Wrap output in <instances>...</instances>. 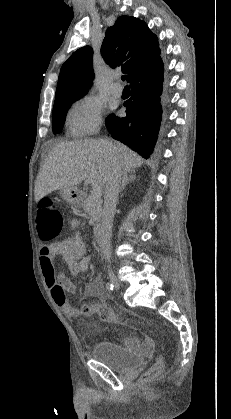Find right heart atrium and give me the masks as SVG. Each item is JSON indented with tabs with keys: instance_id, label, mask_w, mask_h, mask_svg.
<instances>
[{
	"instance_id": "d8ad5b80",
	"label": "right heart atrium",
	"mask_w": 231,
	"mask_h": 419,
	"mask_svg": "<svg viewBox=\"0 0 231 419\" xmlns=\"http://www.w3.org/2000/svg\"><path fill=\"white\" fill-rule=\"evenodd\" d=\"M103 108L98 99L85 95L77 99L70 110L68 125L72 133L80 137H87L100 128L102 124Z\"/></svg>"
}]
</instances>
